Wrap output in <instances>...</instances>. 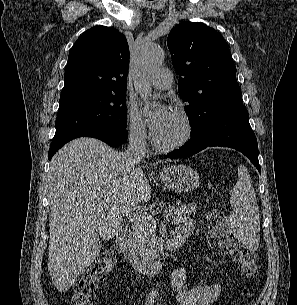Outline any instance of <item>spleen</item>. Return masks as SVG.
Wrapping results in <instances>:
<instances>
[{"label": "spleen", "mask_w": 297, "mask_h": 305, "mask_svg": "<svg viewBox=\"0 0 297 305\" xmlns=\"http://www.w3.org/2000/svg\"><path fill=\"white\" fill-rule=\"evenodd\" d=\"M233 212L227 224L233 234L250 249L260 241V218L252 180L245 166H238V180L230 192Z\"/></svg>", "instance_id": "3e777b00"}]
</instances>
